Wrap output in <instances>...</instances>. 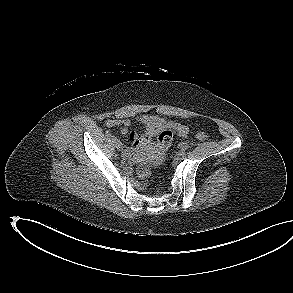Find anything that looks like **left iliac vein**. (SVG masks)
Listing matches in <instances>:
<instances>
[{"label": "left iliac vein", "mask_w": 293, "mask_h": 293, "mask_svg": "<svg viewBox=\"0 0 293 293\" xmlns=\"http://www.w3.org/2000/svg\"><path fill=\"white\" fill-rule=\"evenodd\" d=\"M185 155H186V154H185L184 151H180V152H178L177 157H178L179 159H184Z\"/></svg>", "instance_id": "left-iliac-vein-1"}]
</instances>
